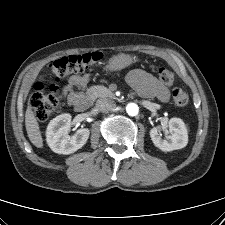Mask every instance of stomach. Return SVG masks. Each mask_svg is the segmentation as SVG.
<instances>
[{
    "mask_svg": "<svg viewBox=\"0 0 225 225\" xmlns=\"http://www.w3.org/2000/svg\"><path fill=\"white\" fill-rule=\"evenodd\" d=\"M133 57L127 54H119L113 56L108 65L106 66V70L108 71H119L130 66L133 63Z\"/></svg>",
    "mask_w": 225,
    "mask_h": 225,
    "instance_id": "obj_1",
    "label": "stomach"
}]
</instances>
